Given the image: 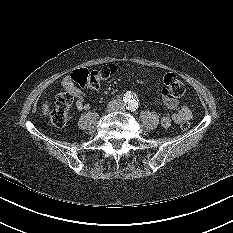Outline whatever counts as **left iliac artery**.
Returning a JSON list of instances; mask_svg holds the SVG:
<instances>
[{"instance_id": "1", "label": "left iliac artery", "mask_w": 233, "mask_h": 233, "mask_svg": "<svg viewBox=\"0 0 233 233\" xmlns=\"http://www.w3.org/2000/svg\"><path fill=\"white\" fill-rule=\"evenodd\" d=\"M130 110H132V111L136 110V105H135V104H132V105L130 106Z\"/></svg>"}]
</instances>
